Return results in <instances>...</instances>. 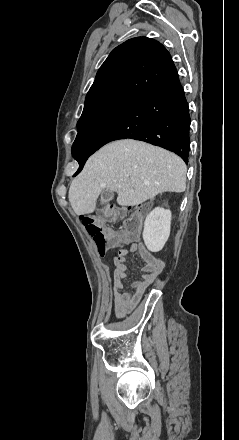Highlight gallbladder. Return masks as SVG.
I'll return each mask as SVG.
<instances>
[{"label":"gallbladder","mask_w":239,"mask_h":440,"mask_svg":"<svg viewBox=\"0 0 239 440\" xmlns=\"http://www.w3.org/2000/svg\"><path fill=\"white\" fill-rule=\"evenodd\" d=\"M114 196V192L113 190H103L102 194H101V206H105V204H107V202H110V200H112Z\"/></svg>","instance_id":"obj_1"}]
</instances>
